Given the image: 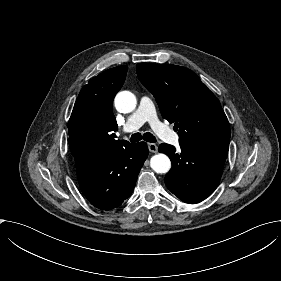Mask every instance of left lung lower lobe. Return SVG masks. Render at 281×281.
<instances>
[{"instance_id": "left-lung-lower-lobe-1", "label": "left lung lower lobe", "mask_w": 281, "mask_h": 281, "mask_svg": "<svg viewBox=\"0 0 281 281\" xmlns=\"http://www.w3.org/2000/svg\"><path fill=\"white\" fill-rule=\"evenodd\" d=\"M172 168L165 176L167 188L186 203H198L207 198L219 184L228 150L190 149L181 147L177 152L169 144H161Z\"/></svg>"}]
</instances>
